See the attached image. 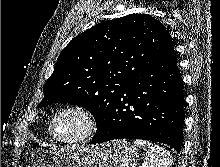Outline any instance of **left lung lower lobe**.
I'll return each instance as SVG.
<instances>
[{"label": "left lung lower lobe", "instance_id": "obj_1", "mask_svg": "<svg viewBox=\"0 0 220 167\" xmlns=\"http://www.w3.org/2000/svg\"><path fill=\"white\" fill-rule=\"evenodd\" d=\"M184 91L175 52L128 81L90 144L144 139L181 151Z\"/></svg>", "mask_w": 220, "mask_h": 167}]
</instances>
